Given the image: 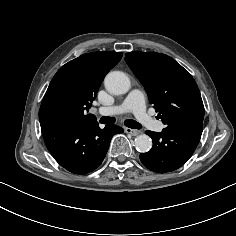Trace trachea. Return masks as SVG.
<instances>
[{
	"label": "trachea",
	"instance_id": "trachea-1",
	"mask_svg": "<svg viewBox=\"0 0 236 236\" xmlns=\"http://www.w3.org/2000/svg\"><path fill=\"white\" fill-rule=\"evenodd\" d=\"M99 121L102 124H114L115 123V118L103 116V117L100 118ZM124 125L129 127V128H132V129H140L142 127L141 124H139L138 122H136L134 120H125Z\"/></svg>",
	"mask_w": 236,
	"mask_h": 236
}]
</instances>
